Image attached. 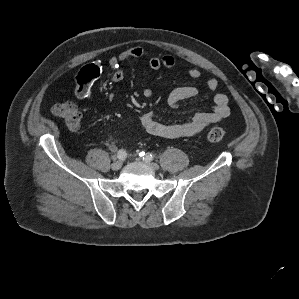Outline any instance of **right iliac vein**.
<instances>
[{
  "mask_svg": "<svg viewBox=\"0 0 299 299\" xmlns=\"http://www.w3.org/2000/svg\"><path fill=\"white\" fill-rule=\"evenodd\" d=\"M112 169L117 171L122 167V162L121 161H115L114 163H112L111 165Z\"/></svg>",
  "mask_w": 299,
  "mask_h": 299,
  "instance_id": "63e3f726",
  "label": "right iliac vein"
}]
</instances>
